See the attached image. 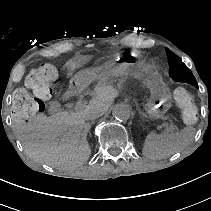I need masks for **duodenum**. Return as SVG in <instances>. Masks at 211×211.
<instances>
[{
    "label": "duodenum",
    "instance_id": "1",
    "mask_svg": "<svg viewBox=\"0 0 211 211\" xmlns=\"http://www.w3.org/2000/svg\"><path fill=\"white\" fill-rule=\"evenodd\" d=\"M83 85L79 81H74L71 83L69 89H68V95L73 97L78 95L82 91Z\"/></svg>",
    "mask_w": 211,
    "mask_h": 211
}]
</instances>
